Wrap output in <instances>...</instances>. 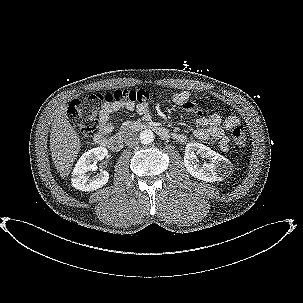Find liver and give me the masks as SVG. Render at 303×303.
Returning a JSON list of instances; mask_svg holds the SVG:
<instances>
[{
  "instance_id": "liver-1",
  "label": "liver",
  "mask_w": 303,
  "mask_h": 303,
  "mask_svg": "<svg viewBox=\"0 0 303 303\" xmlns=\"http://www.w3.org/2000/svg\"><path fill=\"white\" fill-rule=\"evenodd\" d=\"M67 109L65 103L58 106L50 134L52 160L62 178L70 174L81 147L79 136L68 120Z\"/></svg>"
}]
</instances>
